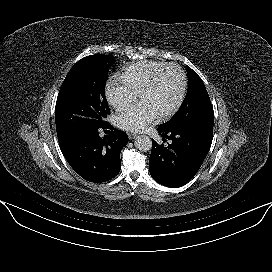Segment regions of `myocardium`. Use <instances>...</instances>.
<instances>
[{
	"mask_svg": "<svg viewBox=\"0 0 272 272\" xmlns=\"http://www.w3.org/2000/svg\"><path fill=\"white\" fill-rule=\"evenodd\" d=\"M170 68H174L179 71L182 79L181 90L176 103L168 111L160 115L161 120H166L172 117L175 113L178 112V110L181 108L184 102L187 91V76L185 71L175 63H168L154 74V76L150 79V81L143 87V89L139 93V98H141L142 96L150 92L152 89H154L155 86L158 84L161 76L164 74V72Z\"/></svg>",
	"mask_w": 272,
	"mask_h": 272,
	"instance_id": "f54148a6",
	"label": "myocardium"
}]
</instances>
